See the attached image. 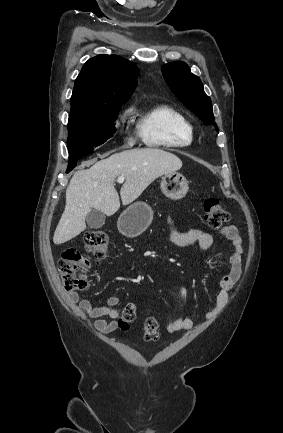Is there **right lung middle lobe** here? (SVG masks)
<instances>
[{"label": "right lung middle lobe", "mask_w": 283, "mask_h": 433, "mask_svg": "<svg viewBox=\"0 0 283 433\" xmlns=\"http://www.w3.org/2000/svg\"><path fill=\"white\" fill-rule=\"evenodd\" d=\"M121 105L72 109L68 120L69 158L86 156L115 132Z\"/></svg>", "instance_id": "1"}]
</instances>
